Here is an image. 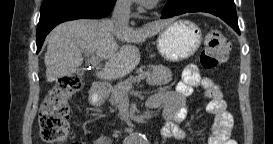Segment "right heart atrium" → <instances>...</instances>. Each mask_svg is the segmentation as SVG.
<instances>
[{
  "label": "right heart atrium",
  "mask_w": 273,
  "mask_h": 144,
  "mask_svg": "<svg viewBox=\"0 0 273 144\" xmlns=\"http://www.w3.org/2000/svg\"><path fill=\"white\" fill-rule=\"evenodd\" d=\"M116 4L123 10H127L131 6V1L130 0H117Z\"/></svg>",
  "instance_id": "obj_1"
}]
</instances>
